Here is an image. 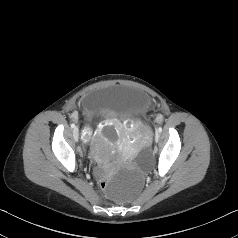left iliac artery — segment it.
<instances>
[{"mask_svg": "<svg viewBox=\"0 0 238 238\" xmlns=\"http://www.w3.org/2000/svg\"><path fill=\"white\" fill-rule=\"evenodd\" d=\"M157 131H158V132H162V128L159 127V128L157 129Z\"/></svg>", "mask_w": 238, "mask_h": 238, "instance_id": "1", "label": "left iliac artery"}]
</instances>
